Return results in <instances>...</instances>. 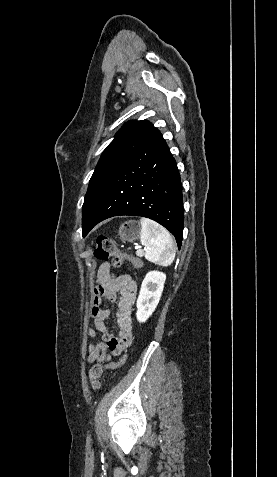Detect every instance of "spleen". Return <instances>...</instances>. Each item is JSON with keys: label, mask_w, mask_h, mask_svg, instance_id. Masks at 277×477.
<instances>
[{"label": "spleen", "mask_w": 277, "mask_h": 477, "mask_svg": "<svg viewBox=\"0 0 277 477\" xmlns=\"http://www.w3.org/2000/svg\"><path fill=\"white\" fill-rule=\"evenodd\" d=\"M140 242L145 246V258L160 266H169L176 252L175 241L161 225L148 218L140 219Z\"/></svg>", "instance_id": "obj_1"}]
</instances>
